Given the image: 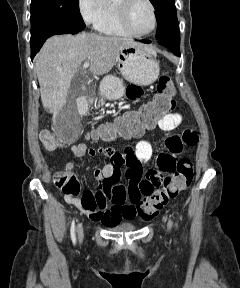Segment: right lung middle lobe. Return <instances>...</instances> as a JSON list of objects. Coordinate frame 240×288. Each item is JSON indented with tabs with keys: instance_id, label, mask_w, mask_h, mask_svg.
I'll return each mask as SVG.
<instances>
[{
	"instance_id": "dd1d6c3e",
	"label": "right lung middle lobe",
	"mask_w": 240,
	"mask_h": 288,
	"mask_svg": "<svg viewBox=\"0 0 240 288\" xmlns=\"http://www.w3.org/2000/svg\"><path fill=\"white\" fill-rule=\"evenodd\" d=\"M55 25L85 27L79 11V0H32L31 1V39Z\"/></svg>"
}]
</instances>
